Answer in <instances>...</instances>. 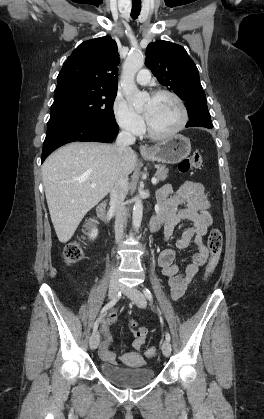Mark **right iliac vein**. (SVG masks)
<instances>
[{"instance_id": "right-iliac-vein-1", "label": "right iliac vein", "mask_w": 264, "mask_h": 419, "mask_svg": "<svg viewBox=\"0 0 264 419\" xmlns=\"http://www.w3.org/2000/svg\"><path fill=\"white\" fill-rule=\"evenodd\" d=\"M120 287H121V285L118 282L117 278H114L110 281L109 292H108V295H109L110 299H113L117 295L118 291L120 290ZM99 338H100L99 332H97V331H95L91 335L90 340H89V344H90V348L92 350H95L98 347Z\"/></svg>"}]
</instances>
